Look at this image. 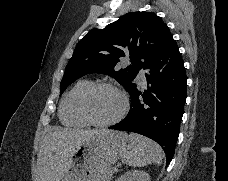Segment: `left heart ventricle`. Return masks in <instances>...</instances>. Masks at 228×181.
Instances as JSON below:
<instances>
[{"mask_svg": "<svg viewBox=\"0 0 228 181\" xmlns=\"http://www.w3.org/2000/svg\"><path fill=\"white\" fill-rule=\"evenodd\" d=\"M122 100L120 95L111 88H96L89 101L87 110L95 120H106L115 116L121 109Z\"/></svg>", "mask_w": 228, "mask_h": 181, "instance_id": "obj_1", "label": "left heart ventricle"}]
</instances>
